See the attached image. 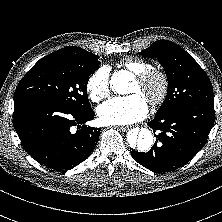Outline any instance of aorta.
Instances as JSON below:
<instances>
[{
    "label": "aorta",
    "instance_id": "762f6f07",
    "mask_svg": "<svg viewBox=\"0 0 222 222\" xmlns=\"http://www.w3.org/2000/svg\"><path fill=\"white\" fill-rule=\"evenodd\" d=\"M133 79L132 73L128 71H119L111 78V87L118 94H127L129 92L128 83ZM154 136L147 128L132 129L127 134V142L131 149L144 152L151 148Z\"/></svg>",
    "mask_w": 222,
    "mask_h": 222
}]
</instances>
